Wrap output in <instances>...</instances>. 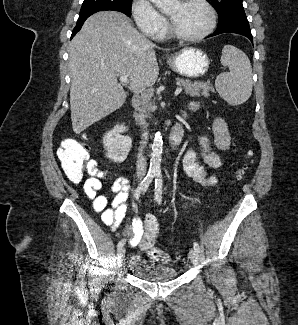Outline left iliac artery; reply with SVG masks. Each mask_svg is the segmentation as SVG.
I'll use <instances>...</instances> for the list:
<instances>
[{
  "instance_id": "left-iliac-artery-1",
  "label": "left iliac artery",
  "mask_w": 298,
  "mask_h": 325,
  "mask_svg": "<svg viewBox=\"0 0 298 325\" xmlns=\"http://www.w3.org/2000/svg\"><path fill=\"white\" fill-rule=\"evenodd\" d=\"M162 187L163 179L161 171H156L155 173V200L158 204H161L162 201ZM194 249L197 253L200 252V247L197 242H194Z\"/></svg>"
}]
</instances>
